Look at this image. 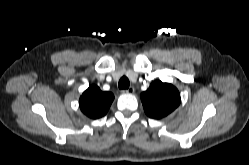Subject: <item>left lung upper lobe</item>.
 I'll return each mask as SVG.
<instances>
[{
    "label": "left lung upper lobe",
    "instance_id": "left-lung-upper-lobe-1",
    "mask_svg": "<svg viewBox=\"0 0 249 165\" xmlns=\"http://www.w3.org/2000/svg\"><path fill=\"white\" fill-rule=\"evenodd\" d=\"M145 113L154 119L166 117L180 104V93L172 84L160 80L153 81L141 94Z\"/></svg>",
    "mask_w": 249,
    "mask_h": 165
}]
</instances>
